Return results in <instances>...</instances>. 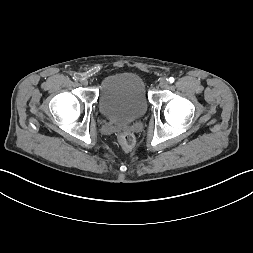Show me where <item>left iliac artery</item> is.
<instances>
[{
	"instance_id": "obj_1",
	"label": "left iliac artery",
	"mask_w": 253,
	"mask_h": 253,
	"mask_svg": "<svg viewBox=\"0 0 253 253\" xmlns=\"http://www.w3.org/2000/svg\"><path fill=\"white\" fill-rule=\"evenodd\" d=\"M174 80H175V79H174L173 77H170V78H169V82H170V83H173Z\"/></svg>"
}]
</instances>
